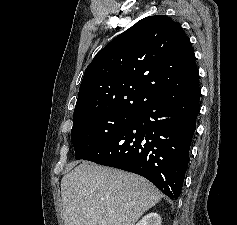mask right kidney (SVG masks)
Wrapping results in <instances>:
<instances>
[{"mask_svg": "<svg viewBox=\"0 0 237 225\" xmlns=\"http://www.w3.org/2000/svg\"><path fill=\"white\" fill-rule=\"evenodd\" d=\"M136 225H161V218L157 213L151 212L145 215Z\"/></svg>", "mask_w": 237, "mask_h": 225, "instance_id": "obj_1", "label": "right kidney"}]
</instances>
